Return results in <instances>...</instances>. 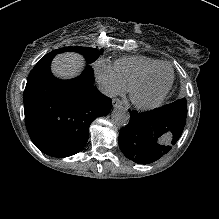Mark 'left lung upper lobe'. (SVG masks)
Returning a JSON list of instances; mask_svg holds the SVG:
<instances>
[{
    "label": "left lung upper lobe",
    "instance_id": "left-lung-upper-lobe-1",
    "mask_svg": "<svg viewBox=\"0 0 219 219\" xmlns=\"http://www.w3.org/2000/svg\"><path fill=\"white\" fill-rule=\"evenodd\" d=\"M162 110L173 112L184 118L187 117V101L185 98L177 100L171 104H167L161 108Z\"/></svg>",
    "mask_w": 219,
    "mask_h": 219
}]
</instances>
